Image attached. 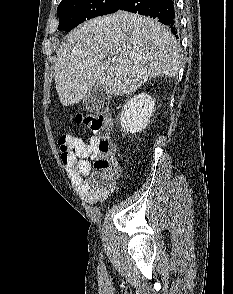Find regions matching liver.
I'll use <instances>...</instances> for the list:
<instances>
[{
  "label": "liver",
  "instance_id": "liver-1",
  "mask_svg": "<svg viewBox=\"0 0 233 294\" xmlns=\"http://www.w3.org/2000/svg\"><path fill=\"white\" fill-rule=\"evenodd\" d=\"M179 58L177 41L165 26L118 11L66 35L54 66L56 90L66 107L84 99L96 83L107 95L131 94L152 77L175 76Z\"/></svg>",
  "mask_w": 233,
  "mask_h": 294
}]
</instances>
